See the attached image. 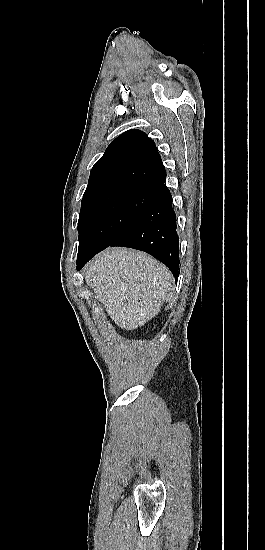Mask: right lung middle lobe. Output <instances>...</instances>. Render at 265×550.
<instances>
[{
  "instance_id": "1",
  "label": "right lung middle lobe",
  "mask_w": 265,
  "mask_h": 550,
  "mask_svg": "<svg viewBox=\"0 0 265 550\" xmlns=\"http://www.w3.org/2000/svg\"><path fill=\"white\" fill-rule=\"evenodd\" d=\"M159 186L124 187L83 200L78 220L77 260L108 247L145 212Z\"/></svg>"
}]
</instances>
